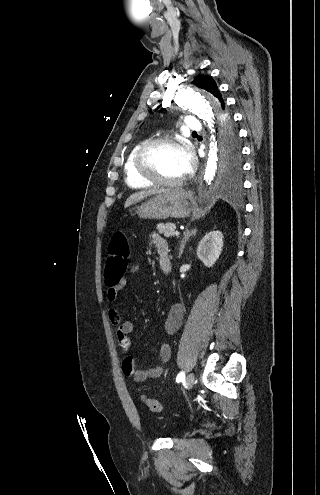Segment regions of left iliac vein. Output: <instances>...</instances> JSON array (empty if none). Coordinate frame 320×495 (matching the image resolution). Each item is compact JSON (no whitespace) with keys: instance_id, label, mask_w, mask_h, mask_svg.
Here are the masks:
<instances>
[{"instance_id":"1","label":"left iliac vein","mask_w":320,"mask_h":495,"mask_svg":"<svg viewBox=\"0 0 320 495\" xmlns=\"http://www.w3.org/2000/svg\"><path fill=\"white\" fill-rule=\"evenodd\" d=\"M195 376L193 373H189L185 379L186 387L191 388L194 384Z\"/></svg>"}]
</instances>
